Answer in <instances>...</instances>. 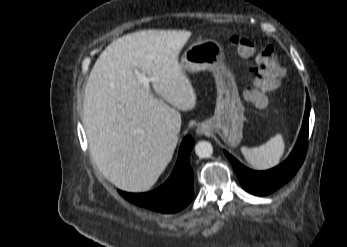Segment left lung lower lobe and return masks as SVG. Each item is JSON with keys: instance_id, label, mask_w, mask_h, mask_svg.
I'll use <instances>...</instances> for the list:
<instances>
[{"instance_id": "obj_1", "label": "left lung lower lobe", "mask_w": 347, "mask_h": 247, "mask_svg": "<svg viewBox=\"0 0 347 247\" xmlns=\"http://www.w3.org/2000/svg\"><path fill=\"white\" fill-rule=\"evenodd\" d=\"M309 114L310 100L307 94L304 120L295 147L289 157L273 169L261 172L253 171L224 151L246 191L254 195L265 196L279 189L295 175L302 165L307 151Z\"/></svg>"}]
</instances>
